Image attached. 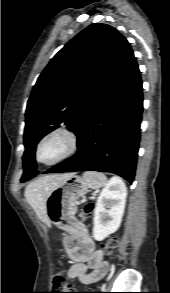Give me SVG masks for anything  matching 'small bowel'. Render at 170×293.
I'll list each match as a JSON object with an SVG mask.
<instances>
[{
    "label": "small bowel",
    "instance_id": "1",
    "mask_svg": "<svg viewBox=\"0 0 170 293\" xmlns=\"http://www.w3.org/2000/svg\"><path fill=\"white\" fill-rule=\"evenodd\" d=\"M65 245L69 257L76 261L67 272L70 281L90 285L108 273L109 264L103 253L94 249L92 241L70 233L65 237Z\"/></svg>",
    "mask_w": 170,
    "mask_h": 293
}]
</instances>
